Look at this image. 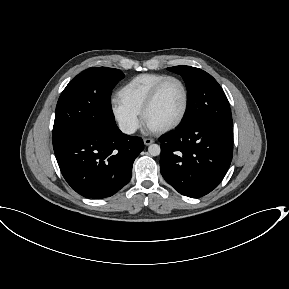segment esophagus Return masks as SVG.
<instances>
[{"label": "esophagus", "mask_w": 289, "mask_h": 289, "mask_svg": "<svg viewBox=\"0 0 289 289\" xmlns=\"http://www.w3.org/2000/svg\"><path fill=\"white\" fill-rule=\"evenodd\" d=\"M143 142L146 146H148V145L152 144L154 142V140L150 139V138H144Z\"/></svg>", "instance_id": "obj_1"}]
</instances>
